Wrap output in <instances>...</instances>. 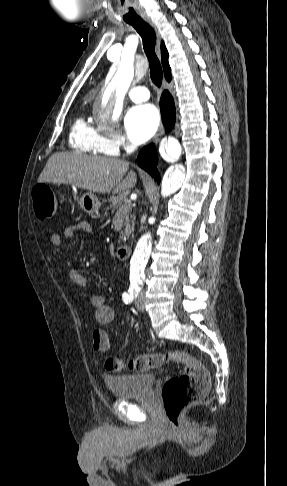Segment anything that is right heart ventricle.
Returning a JSON list of instances; mask_svg holds the SVG:
<instances>
[{"label":"right heart ventricle","instance_id":"e07e8e85","mask_svg":"<svg viewBox=\"0 0 287 486\" xmlns=\"http://www.w3.org/2000/svg\"><path fill=\"white\" fill-rule=\"evenodd\" d=\"M102 135L84 118L80 117L72 125L69 143L70 146L80 152L89 154L105 153L100 147Z\"/></svg>","mask_w":287,"mask_h":486}]
</instances>
